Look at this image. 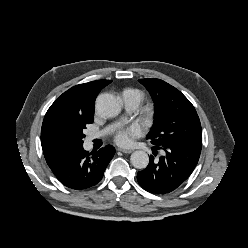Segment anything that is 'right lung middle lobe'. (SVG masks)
<instances>
[{"label": "right lung middle lobe", "mask_w": 248, "mask_h": 248, "mask_svg": "<svg viewBox=\"0 0 248 248\" xmlns=\"http://www.w3.org/2000/svg\"><path fill=\"white\" fill-rule=\"evenodd\" d=\"M93 122V116L77 117L70 121L66 126V132L69 138L79 147L83 145V130L87 124Z\"/></svg>", "instance_id": "1"}]
</instances>
